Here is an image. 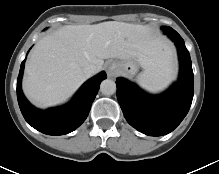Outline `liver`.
<instances>
[{
  "label": "liver",
  "instance_id": "1",
  "mask_svg": "<svg viewBox=\"0 0 219 174\" xmlns=\"http://www.w3.org/2000/svg\"><path fill=\"white\" fill-rule=\"evenodd\" d=\"M169 46L154 39L142 25L108 21L95 25H68L41 38L25 66L23 91L39 107L58 104L86 79L88 64L102 69L104 59H135L143 68L165 58Z\"/></svg>",
  "mask_w": 219,
  "mask_h": 174
}]
</instances>
